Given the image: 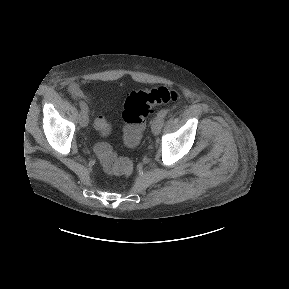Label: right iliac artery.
Instances as JSON below:
<instances>
[{
    "label": "right iliac artery",
    "mask_w": 289,
    "mask_h": 289,
    "mask_svg": "<svg viewBox=\"0 0 289 289\" xmlns=\"http://www.w3.org/2000/svg\"><path fill=\"white\" fill-rule=\"evenodd\" d=\"M79 105H80V108L82 109V111L88 112V106L86 105L85 102L80 101V102H79Z\"/></svg>",
    "instance_id": "1"
}]
</instances>
